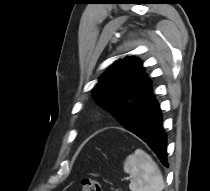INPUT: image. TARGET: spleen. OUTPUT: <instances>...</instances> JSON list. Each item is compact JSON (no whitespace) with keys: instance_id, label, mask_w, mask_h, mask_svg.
Segmentation results:
<instances>
[{"instance_id":"1","label":"spleen","mask_w":210,"mask_h":191,"mask_svg":"<svg viewBox=\"0 0 210 191\" xmlns=\"http://www.w3.org/2000/svg\"><path fill=\"white\" fill-rule=\"evenodd\" d=\"M124 171L132 178L129 184L131 191H162L165 187L157 164L141 149L126 158Z\"/></svg>"}]
</instances>
